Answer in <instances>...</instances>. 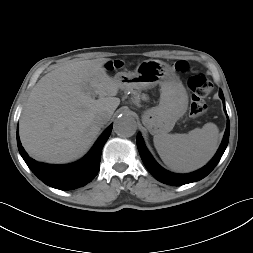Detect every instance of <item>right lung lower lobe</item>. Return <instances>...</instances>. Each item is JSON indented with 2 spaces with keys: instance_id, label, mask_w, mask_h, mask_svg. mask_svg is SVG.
<instances>
[{
  "instance_id": "98d812e1",
  "label": "right lung lower lobe",
  "mask_w": 253,
  "mask_h": 253,
  "mask_svg": "<svg viewBox=\"0 0 253 253\" xmlns=\"http://www.w3.org/2000/svg\"><path fill=\"white\" fill-rule=\"evenodd\" d=\"M112 131L110 125L97 140L90 152L76 163L50 165L39 163L30 158L23 149L18 133L19 152L30 170L46 185L60 190H72L86 185L97 175L100 167L101 152Z\"/></svg>"
}]
</instances>
